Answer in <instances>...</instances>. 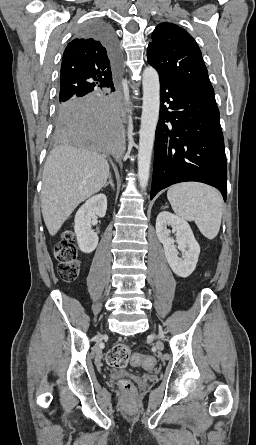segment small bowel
I'll return each mask as SVG.
<instances>
[{"label": "small bowel", "mask_w": 256, "mask_h": 445, "mask_svg": "<svg viewBox=\"0 0 256 445\" xmlns=\"http://www.w3.org/2000/svg\"><path fill=\"white\" fill-rule=\"evenodd\" d=\"M144 365V367L146 368V369H150V368H152V366H153V364L151 365V366H149V365H147V364H143Z\"/></svg>", "instance_id": "1"}]
</instances>
